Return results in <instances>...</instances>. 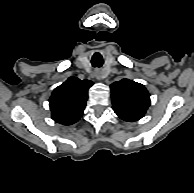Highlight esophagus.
<instances>
[{
	"instance_id": "34e87169",
	"label": "esophagus",
	"mask_w": 194,
	"mask_h": 193,
	"mask_svg": "<svg viewBox=\"0 0 194 193\" xmlns=\"http://www.w3.org/2000/svg\"><path fill=\"white\" fill-rule=\"evenodd\" d=\"M95 77H96L97 80H102L104 78L102 72L99 71V70L95 71Z\"/></svg>"
}]
</instances>
